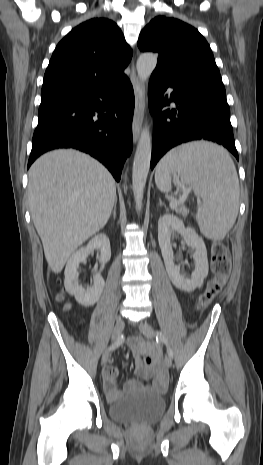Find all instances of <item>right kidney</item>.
Listing matches in <instances>:
<instances>
[{
    "label": "right kidney",
    "instance_id": "right-kidney-1",
    "mask_svg": "<svg viewBox=\"0 0 263 465\" xmlns=\"http://www.w3.org/2000/svg\"><path fill=\"white\" fill-rule=\"evenodd\" d=\"M94 250L100 251L101 272L111 257L110 241L104 233L98 234L92 238L85 247L74 252L69 258L64 272V286L66 291L74 295L77 302L83 306L94 305L100 298L105 285L100 272L95 275L94 284L90 289H84L78 283L77 268L80 262L85 261L90 252Z\"/></svg>",
    "mask_w": 263,
    "mask_h": 465
}]
</instances>
